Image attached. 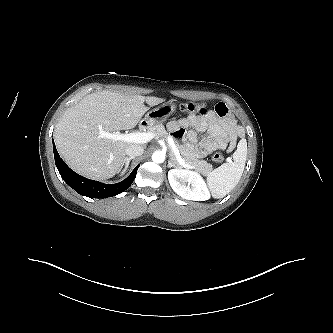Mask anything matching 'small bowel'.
Wrapping results in <instances>:
<instances>
[{
  "instance_id": "obj_1",
  "label": "small bowel",
  "mask_w": 333,
  "mask_h": 333,
  "mask_svg": "<svg viewBox=\"0 0 333 333\" xmlns=\"http://www.w3.org/2000/svg\"><path fill=\"white\" fill-rule=\"evenodd\" d=\"M168 127L175 137L183 140V150L197 158L220 149L232 151L237 139L243 136L242 128L225 103H218L214 109H203L199 114L192 113L173 120ZM204 133L206 136L200 139L199 135Z\"/></svg>"
}]
</instances>
